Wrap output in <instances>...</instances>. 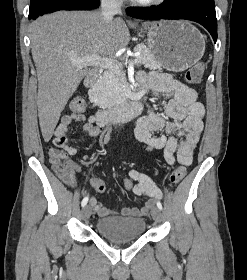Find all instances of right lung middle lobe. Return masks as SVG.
<instances>
[{
	"label": "right lung middle lobe",
	"mask_w": 247,
	"mask_h": 280,
	"mask_svg": "<svg viewBox=\"0 0 247 280\" xmlns=\"http://www.w3.org/2000/svg\"><path fill=\"white\" fill-rule=\"evenodd\" d=\"M46 0H31L30 3V10H34L41 5L42 2Z\"/></svg>",
	"instance_id": "obj_1"
}]
</instances>
